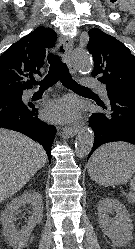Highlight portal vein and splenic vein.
<instances>
[{
	"label": "portal vein and splenic vein",
	"instance_id": "obj_1",
	"mask_svg": "<svg viewBox=\"0 0 135 249\" xmlns=\"http://www.w3.org/2000/svg\"><path fill=\"white\" fill-rule=\"evenodd\" d=\"M129 195L133 196L134 194L132 192H129Z\"/></svg>",
	"mask_w": 135,
	"mask_h": 249
}]
</instances>
